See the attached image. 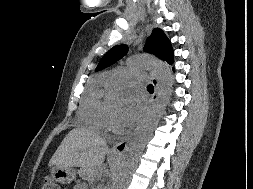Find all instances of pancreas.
Returning <instances> with one entry per match:
<instances>
[{
  "mask_svg": "<svg viewBox=\"0 0 253 189\" xmlns=\"http://www.w3.org/2000/svg\"><path fill=\"white\" fill-rule=\"evenodd\" d=\"M80 175L86 180H92L95 177L96 173L90 167H82L80 169Z\"/></svg>",
  "mask_w": 253,
  "mask_h": 189,
  "instance_id": "pancreas-1",
  "label": "pancreas"
}]
</instances>
